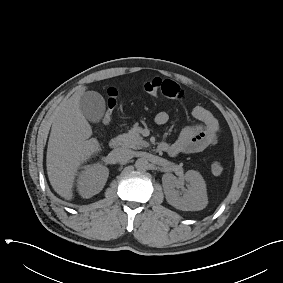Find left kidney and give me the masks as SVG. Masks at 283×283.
<instances>
[{
  "label": "left kidney",
  "mask_w": 283,
  "mask_h": 283,
  "mask_svg": "<svg viewBox=\"0 0 283 283\" xmlns=\"http://www.w3.org/2000/svg\"><path fill=\"white\" fill-rule=\"evenodd\" d=\"M184 179L189 183L183 195L177 189L182 188L183 181L173 174L163 175L162 182L167 202L183 211H198L208 204L206 184L201 174L194 170L185 173Z\"/></svg>",
  "instance_id": "5707ae66"
}]
</instances>
